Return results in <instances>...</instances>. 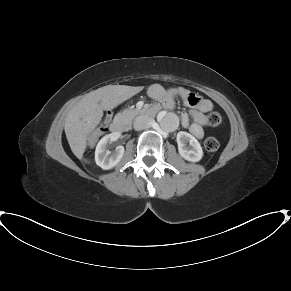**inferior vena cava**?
<instances>
[{"mask_svg": "<svg viewBox=\"0 0 291 291\" xmlns=\"http://www.w3.org/2000/svg\"><path fill=\"white\" fill-rule=\"evenodd\" d=\"M152 122H153V119L151 117H149L147 115H141V116H138L134 120L133 127L137 131L143 130V129H146V128L150 127Z\"/></svg>", "mask_w": 291, "mask_h": 291, "instance_id": "obj_1", "label": "inferior vena cava"}]
</instances>
